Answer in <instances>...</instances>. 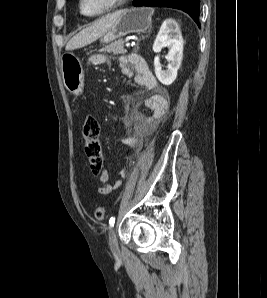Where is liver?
<instances>
[{
  "label": "liver",
  "mask_w": 267,
  "mask_h": 298,
  "mask_svg": "<svg viewBox=\"0 0 267 298\" xmlns=\"http://www.w3.org/2000/svg\"><path fill=\"white\" fill-rule=\"evenodd\" d=\"M119 15L120 11H117L96 20L72 37L66 45V50L78 49L96 41L112 27Z\"/></svg>",
  "instance_id": "6515ba94"
}]
</instances>
